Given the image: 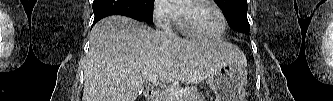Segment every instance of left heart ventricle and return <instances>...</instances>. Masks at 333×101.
Returning a JSON list of instances; mask_svg holds the SVG:
<instances>
[{
	"label": "left heart ventricle",
	"instance_id": "obj_1",
	"mask_svg": "<svg viewBox=\"0 0 333 101\" xmlns=\"http://www.w3.org/2000/svg\"><path fill=\"white\" fill-rule=\"evenodd\" d=\"M193 27L201 33L214 35L221 31L222 21L218 12L207 3H199L188 9Z\"/></svg>",
	"mask_w": 333,
	"mask_h": 101
}]
</instances>
